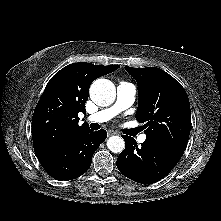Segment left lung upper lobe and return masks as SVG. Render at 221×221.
Listing matches in <instances>:
<instances>
[{
    "label": "left lung upper lobe",
    "instance_id": "1",
    "mask_svg": "<svg viewBox=\"0 0 221 221\" xmlns=\"http://www.w3.org/2000/svg\"><path fill=\"white\" fill-rule=\"evenodd\" d=\"M125 69L138 83L136 119L145 122L146 140L182 156L191 129L190 103L184 88L159 68Z\"/></svg>",
    "mask_w": 221,
    "mask_h": 221
}]
</instances>
